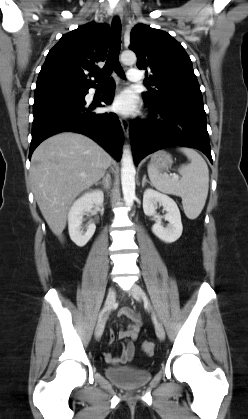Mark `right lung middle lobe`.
I'll use <instances>...</instances> for the list:
<instances>
[{
    "mask_svg": "<svg viewBox=\"0 0 248 419\" xmlns=\"http://www.w3.org/2000/svg\"><path fill=\"white\" fill-rule=\"evenodd\" d=\"M86 91H68V92H64L61 94H68V95H82L84 94Z\"/></svg>",
    "mask_w": 248,
    "mask_h": 419,
    "instance_id": "1",
    "label": "right lung middle lobe"
}]
</instances>
